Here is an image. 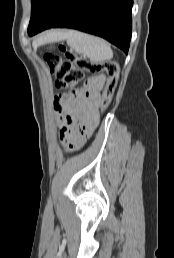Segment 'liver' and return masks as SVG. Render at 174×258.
Wrapping results in <instances>:
<instances>
[{
	"label": "liver",
	"mask_w": 174,
	"mask_h": 258,
	"mask_svg": "<svg viewBox=\"0 0 174 258\" xmlns=\"http://www.w3.org/2000/svg\"><path fill=\"white\" fill-rule=\"evenodd\" d=\"M56 35H59V33H49L46 36H44L42 39L43 40H50L51 37L56 36ZM42 39L38 40V42L41 41Z\"/></svg>",
	"instance_id": "obj_1"
}]
</instances>
